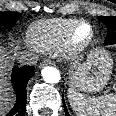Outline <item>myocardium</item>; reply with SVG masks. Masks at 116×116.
I'll return each mask as SVG.
<instances>
[{"mask_svg":"<svg viewBox=\"0 0 116 116\" xmlns=\"http://www.w3.org/2000/svg\"><path fill=\"white\" fill-rule=\"evenodd\" d=\"M83 26H87L89 28V34L84 39H78L76 37L77 33ZM94 37L95 29L93 25L88 21L78 20L64 34L60 43V51L66 59L75 60L87 50Z\"/></svg>","mask_w":116,"mask_h":116,"instance_id":"1","label":"myocardium"}]
</instances>
